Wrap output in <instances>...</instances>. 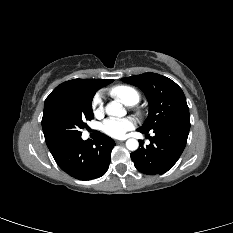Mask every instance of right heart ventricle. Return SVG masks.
<instances>
[{"label":"right heart ventricle","instance_id":"right-heart-ventricle-1","mask_svg":"<svg viewBox=\"0 0 233 233\" xmlns=\"http://www.w3.org/2000/svg\"><path fill=\"white\" fill-rule=\"evenodd\" d=\"M110 94L126 105H135L141 98L139 91L129 85H116L110 89Z\"/></svg>","mask_w":233,"mask_h":233}]
</instances>
